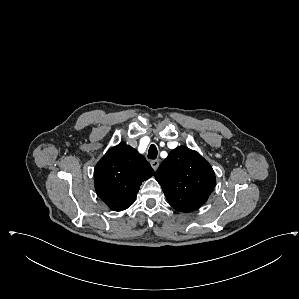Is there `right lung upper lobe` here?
<instances>
[{
  "label": "right lung upper lobe",
  "mask_w": 299,
  "mask_h": 299,
  "mask_svg": "<svg viewBox=\"0 0 299 299\" xmlns=\"http://www.w3.org/2000/svg\"><path fill=\"white\" fill-rule=\"evenodd\" d=\"M154 175L143 155L120 143L97 163L94 186L98 196L114 211L127 209L135 201L140 185Z\"/></svg>",
  "instance_id": "right-lung-upper-lobe-1"
}]
</instances>
